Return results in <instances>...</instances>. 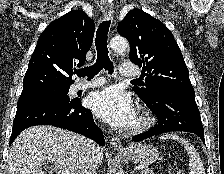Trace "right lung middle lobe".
<instances>
[{"label": "right lung middle lobe", "instance_id": "dd1d6c3e", "mask_svg": "<svg viewBox=\"0 0 224 174\" xmlns=\"http://www.w3.org/2000/svg\"><path fill=\"white\" fill-rule=\"evenodd\" d=\"M70 85H47L42 87L39 90H48V91H61L64 93H68Z\"/></svg>", "mask_w": 224, "mask_h": 174}]
</instances>
